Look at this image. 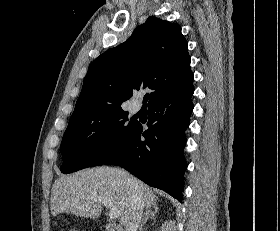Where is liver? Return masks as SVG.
<instances>
[{"mask_svg": "<svg viewBox=\"0 0 280 231\" xmlns=\"http://www.w3.org/2000/svg\"><path fill=\"white\" fill-rule=\"evenodd\" d=\"M127 177H133L128 171L118 167H92L81 169L70 175H60L55 179L51 189V213H74L82 217H98L102 211L101 201L95 199H108L110 205L117 207L122 225H126L131 213V195ZM135 179V177H133ZM138 197L142 199L147 209L157 205L158 195L153 193L151 187L139 181Z\"/></svg>", "mask_w": 280, "mask_h": 231, "instance_id": "liver-1", "label": "liver"}]
</instances>
